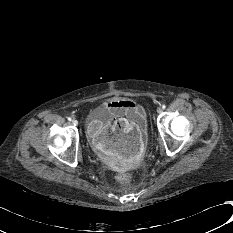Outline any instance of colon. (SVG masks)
Returning a JSON list of instances; mask_svg holds the SVG:
<instances>
[{
	"instance_id": "obj_1",
	"label": "colon",
	"mask_w": 233,
	"mask_h": 233,
	"mask_svg": "<svg viewBox=\"0 0 233 233\" xmlns=\"http://www.w3.org/2000/svg\"><path fill=\"white\" fill-rule=\"evenodd\" d=\"M114 127L117 130H121V129L125 128V125L121 121H116V122H114ZM117 180L122 184H127L131 181V175L127 172H120L117 175Z\"/></svg>"
}]
</instances>
